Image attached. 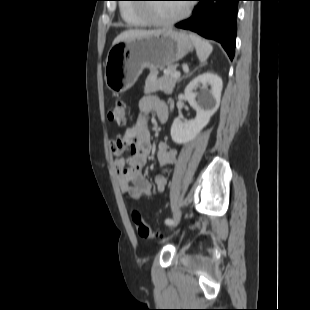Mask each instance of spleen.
<instances>
[{"label": "spleen", "mask_w": 310, "mask_h": 310, "mask_svg": "<svg viewBox=\"0 0 310 310\" xmlns=\"http://www.w3.org/2000/svg\"><path fill=\"white\" fill-rule=\"evenodd\" d=\"M190 38L192 39L194 43V46L196 48V53H197V56L200 62L204 63L208 59L209 55L211 54L213 50L212 45L208 41L194 34H190Z\"/></svg>", "instance_id": "obj_1"}]
</instances>
